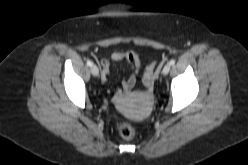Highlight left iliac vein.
<instances>
[{
  "instance_id": "4c4485c4",
  "label": "left iliac vein",
  "mask_w": 248,
  "mask_h": 165,
  "mask_svg": "<svg viewBox=\"0 0 248 165\" xmlns=\"http://www.w3.org/2000/svg\"><path fill=\"white\" fill-rule=\"evenodd\" d=\"M170 71V64H166L164 67H163V70H162V73L163 75H167Z\"/></svg>"
}]
</instances>
